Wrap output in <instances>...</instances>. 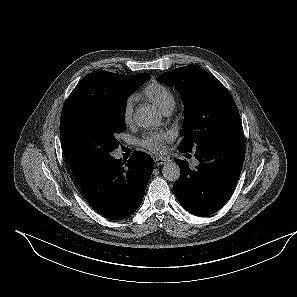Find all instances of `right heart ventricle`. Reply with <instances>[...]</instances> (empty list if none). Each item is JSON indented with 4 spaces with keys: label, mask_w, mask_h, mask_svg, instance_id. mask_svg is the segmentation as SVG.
<instances>
[{
    "label": "right heart ventricle",
    "mask_w": 297,
    "mask_h": 297,
    "mask_svg": "<svg viewBox=\"0 0 297 297\" xmlns=\"http://www.w3.org/2000/svg\"><path fill=\"white\" fill-rule=\"evenodd\" d=\"M143 95L154 103L162 112L168 108H173L175 99L173 93L166 86L151 82L143 89Z\"/></svg>",
    "instance_id": "e07e8e85"
}]
</instances>
